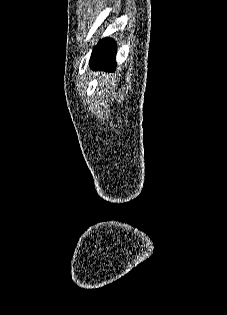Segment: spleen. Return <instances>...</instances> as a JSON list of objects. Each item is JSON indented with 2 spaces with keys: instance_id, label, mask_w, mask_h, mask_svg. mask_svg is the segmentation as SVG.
<instances>
[{
  "instance_id": "1",
  "label": "spleen",
  "mask_w": 227,
  "mask_h": 315,
  "mask_svg": "<svg viewBox=\"0 0 227 315\" xmlns=\"http://www.w3.org/2000/svg\"><path fill=\"white\" fill-rule=\"evenodd\" d=\"M113 82V81H112ZM103 83H107V80L106 79H103Z\"/></svg>"
}]
</instances>
